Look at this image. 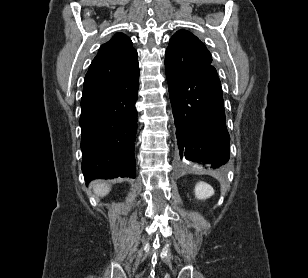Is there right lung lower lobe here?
<instances>
[{
	"mask_svg": "<svg viewBox=\"0 0 308 278\" xmlns=\"http://www.w3.org/2000/svg\"><path fill=\"white\" fill-rule=\"evenodd\" d=\"M138 89L139 75L116 90L82 96V170L87 183L96 178H135Z\"/></svg>",
	"mask_w": 308,
	"mask_h": 278,
	"instance_id": "98d812e1",
	"label": "right lung lower lobe"
}]
</instances>
